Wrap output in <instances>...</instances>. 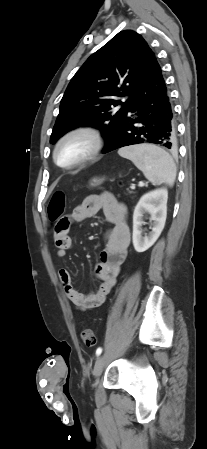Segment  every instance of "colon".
<instances>
[{
    "label": "colon",
    "instance_id": "obj_1",
    "mask_svg": "<svg viewBox=\"0 0 207 449\" xmlns=\"http://www.w3.org/2000/svg\"><path fill=\"white\" fill-rule=\"evenodd\" d=\"M65 210V194L62 191L53 193L51 200L47 207L48 218L51 222L56 223L54 230H58V222L62 219ZM82 339L87 346H94L96 344V337L94 332L86 328L82 331Z\"/></svg>",
    "mask_w": 207,
    "mask_h": 449
}]
</instances>
